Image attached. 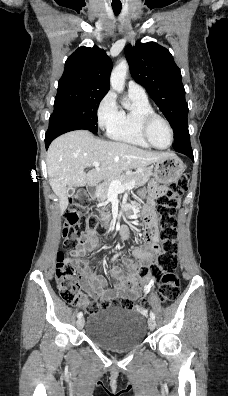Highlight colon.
Masks as SVG:
<instances>
[{"label":"colon","mask_w":228,"mask_h":396,"mask_svg":"<svg viewBox=\"0 0 228 396\" xmlns=\"http://www.w3.org/2000/svg\"><path fill=\"white\" fill-rule=\"evenodd\" d=\"M189 182V174L184 173L158 198L156 212L159 224L160 251L154 265L150 268L141 267L139 269V273L143 278L150 274L159 277L157 296L162 303L175 300L179 294V278L173 272L178 264L176 257L177 229L175 210L177 198L188 191ZM89 203V197L85 193L79 192L73 197L71 204L74 208L67 212L63 229L65 246H78L84 240L86 231L95 228V216L90 214L83 218L77 209L87 208ZM55 279L59 293L66 302L80 304L84 301V296L80 290L79 278L73 266L64 261L62 252L57 254ZM115 304H119L126 309L145 310L148 302L143 301L139 305H135L129 299H123L115 302ZM105 307H107V303L104 301H89L83 306L86 315L94 314Z\"/></svg>","instance_id":"obj_1"}]
</instances>
